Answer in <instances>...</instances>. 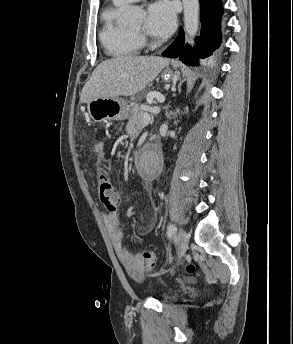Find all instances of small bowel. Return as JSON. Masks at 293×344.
<instances>
[{
  "label": "small bowel",
  "mask_w": 293,
  "mask_h": 344,
  "mask_svg": "<svg viewBox=\"0 0 293 344\" xmlns=\"http://www.w3.org/2000/svg\"><path fill=\"white\" fill-rule=\"evenodd\" d=\"M96 148L100 153H102L104 148L103 143H97ZM103 219L119 261L134 277H140L143 269V261L138 255L132 254L124 247V233L120 227L118 210H111L104 213ZM154 226L155 220H152L146 225V230H151Z\"/></svg>",
  "instance_id": "small-bowel-1"
}]
</instances>
